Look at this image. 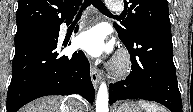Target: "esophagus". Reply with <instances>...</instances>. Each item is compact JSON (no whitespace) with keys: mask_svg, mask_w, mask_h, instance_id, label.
Wrapping results in <instances>:
<instances>
[{"mask_svg":"<svg viewBox=\"0 0 193 112\" xmlns=\"http://www.w3.org/2000/svg\"><path fill=\"white\" fill-rule=\"evenodd\" d=\"M90 74H91V80H92L93 86L95 89H97L99 81H100V74H99L98 69L94 67L93 65H91Z\"/></svg>","mask_w":193,"mask_h":112,"instance_id":"esophagus-1","label":"esophagus"}]
</instances>
